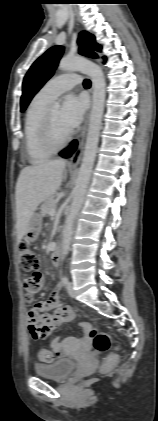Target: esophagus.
I'll use <instances>...</instances> for the list:
<instances>
[{"instance_id": "esophagus-1", "label": "esophagus", "mask_w": 158, "mask_h": 421, "mask_svg": "<svg viewBox=\"0 0 158 421\" xmlns=\"http://www.w3.org/2000/svg\"><path fill=\"white\" fill-rule=\"evenodd\" d=\"M89 116H90V112H88V114L86 115L84 124L81 128V131L79 133V135L77 136V148L75 150V152L73 153L72 157L70 158L69 161V166L71 167H77L80 163L82 154H83V150H84V143H85V137H86V132H87V127H88V123H89Z\"/></svg>"}]
</instances>
